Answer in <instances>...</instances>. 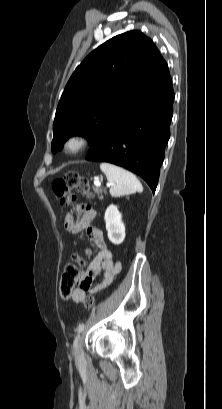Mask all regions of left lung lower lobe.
Listing matches in <instances>:
<instances>
[{"mask_svg":"<svg viewBox=\"0 0 222 409\" xmlns=\"http://www.w3.org/2000/svg\"><path fill=\"white\" fill-rule=\"evenodd\" d=\"M174 92L170 75L125 105L100 133L86 156L126 168L155 192L170 137Z\"/></svg>","mask_w":222,"mask_h":409,"instance_id":"0a47b994","label":"left lung lower lobe"}]
</instances>
